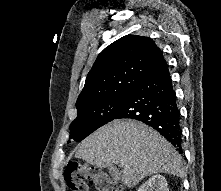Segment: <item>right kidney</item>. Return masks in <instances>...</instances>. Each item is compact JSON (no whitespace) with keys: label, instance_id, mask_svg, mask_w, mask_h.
I'll return each mask as SVG.
<instances>
[{"label":"right kidney","instance_id":"obj_1","mask_svg":"<svg viewBox=\"0 0 221 191\" xmlns=\"http://www.w3.org/2000/svg\"><path fill=\"white\" fill-rule=\"evenodd\" d=\"M137 191H169V189L165 177L157 174L143 183Z\"/></svg>","mask_w":221,"mask_h":191}]
</instances>
